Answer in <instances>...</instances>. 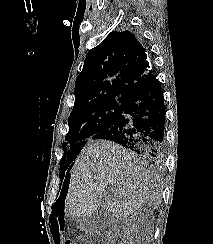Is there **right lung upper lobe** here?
Returning a JSON list of instances; mask_svg holds the SVG:
<instances>
[{
  "mask_svg": "<svg viewBox=\"0 0 213 244\" xmlns=\"http://www.w3.org/2000/svg\"><path fill=\"white\" fill-rule=\"evenodd\" d=\"M152 75L151 57L143 40L129 30L113 31L87 53L76 80L73 108L103 96L131 98Z\"/></svg>",
  "mask_w": 213,
  "mask_h": 244,
  "instance_id": "right-lung-upper-lobe-1",
  "label": "right lung upper lobe"
}]
</instances>
